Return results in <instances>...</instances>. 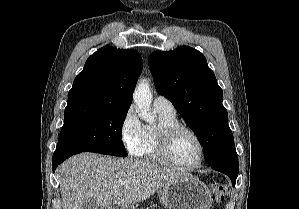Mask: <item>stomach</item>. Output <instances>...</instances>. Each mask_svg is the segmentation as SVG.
<instances>
[{"label": "stomach", "instance_id": "stomach-1", "mask_svg": "<svg viewBox=\"0 0 299 209\" xmlns=\"http://www.w3.org/2000/svg\"><path fill=\"white\" fill-rule=\"evenodd\" d=\"M160 202L167 209H210L212 197L208 187L197 177L190 175L163 187L160 190ZM117 209L134 208L121 206Z\"/></svg>", "mask_w": 299, "mask_h": 209}]
</instances>
